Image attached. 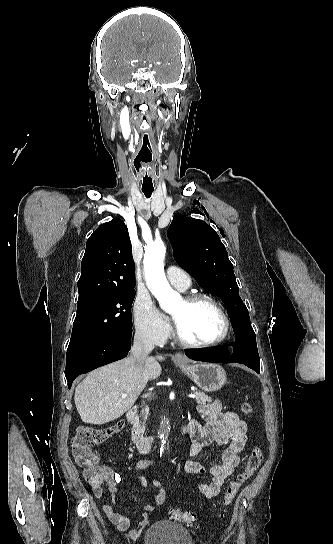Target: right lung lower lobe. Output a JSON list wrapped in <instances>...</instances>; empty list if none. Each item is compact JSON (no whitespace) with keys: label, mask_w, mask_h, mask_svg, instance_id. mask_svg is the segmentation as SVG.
<instances>
[{"label":"right lung lower lobe","mask_w":333,"mask_h":544,"mask_svg":"<svg viewBox=\"0 0 333 544\" xmlns=\"http://www.w3.org/2000/svg\"><path fill=\"white\" fill-rule=\"evenodd\" d=\"M132 327L103 337L91 345L67 355L65 376L68 387L80 374L127 356L131 345Z\"/></svg>","instance_id":"obj_1"}]
</instances>
